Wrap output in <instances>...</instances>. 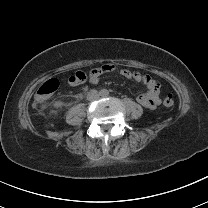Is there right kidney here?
<instances>
[{
    "instance_id": "right-kidney-1",
    "label": "right kidney",
    "mask_w": 208,
    "mask_h": 208,
    "mask_svg": "<svg viewBox=\"0 0 208 208\" xmlns=\"http://www.w3.org/2000/svg\"><path fill=\"white\" fill-rule=\"evenodd\" d=\"M54 106L55 107H61V106H63V103L60 102V101H57V102L54 103Z\"/></svg>"
}]
</instances>
